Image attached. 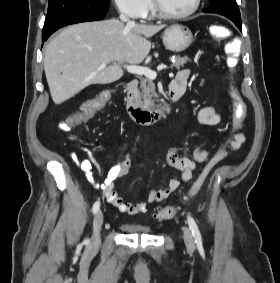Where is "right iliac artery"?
Listing matches in <instances>:
<instances>
[{
	"mask_svg": "<svg viewBox=\"0 0 280 283\" xmlns=\"http://www.w3.org/2000/svg\"><path fill=\"white\" fill-rule=\"evenodd\" d=\"M99 209H100V202L96 201L93 205L92 212L95 214L98 212Z\"/></svg>",
	"mask_w": 280,
	"mask_h": 283,
	"instance_id": "82829eb1",
	"label": "right iliac artery"
}]
</instances>
